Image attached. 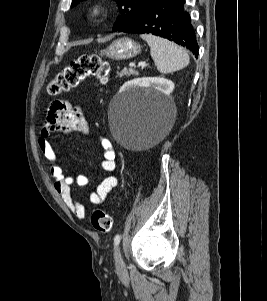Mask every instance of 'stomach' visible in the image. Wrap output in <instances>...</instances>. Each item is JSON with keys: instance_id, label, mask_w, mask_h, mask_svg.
<instances>
[{"instance_id": "stomach-1", "label": "stomach", "mask_w": 267, "mask_h": 301, "mask_svg": "<svg viewBox=\"0 0 267 301\" xmlns=\"http://www.w3.org/2000/svg\"><path fill=\"white\" fill-rule=\"evenodd\" d=\"M141 47L130 38L124 37L114 40L106 49L101 51L102 56L113 60H126L140 53Z\"/></svg>"}]
</instances>
